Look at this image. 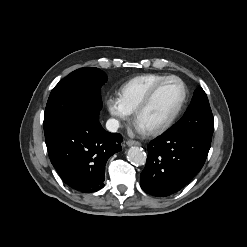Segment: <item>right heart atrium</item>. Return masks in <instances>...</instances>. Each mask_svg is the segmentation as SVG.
Masks as SVG:
<instances>
[{
  "label": "right heart atrium",
  "mask_w": 247,
  "mask_h": 247,
  "mask_svg": "<svg viewBox=\"0 0 247 247\" xmlns=\"http://www.w3.org/2000/svg\"><path fill=\"white\" fill-rule=\"evenodd\" d=\"M106 107L117 122L126 121L129 118L130 113L125 109L119 97H108L106 99Z\"/></svg>",
  "instance_id": "obj_1"
}]
</instances>
